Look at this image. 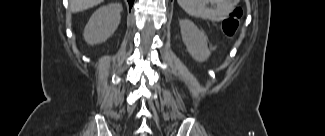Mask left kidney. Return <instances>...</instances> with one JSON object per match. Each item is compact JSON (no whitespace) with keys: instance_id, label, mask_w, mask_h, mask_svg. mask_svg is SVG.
Wrapping results in <instances>:
<instances>
[{"instance_id":"obj_1","label":"left kidney","mask_w":325,"mask_h":136,"mask_svg":"<svg viewBox=\"0 0 325 136\" xmlns=\"http://www.w3.org/2000/svg\"><path fill=\"white\" fill-rule=\"evenodd\" d=\"M182 40L187 51L198 62L206 61L211 52L208 48L207 36L192 21L183 19L179 21Z\"/></svg>"}]
</instances>
